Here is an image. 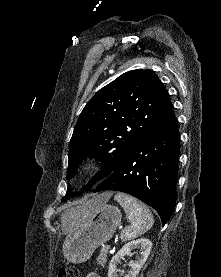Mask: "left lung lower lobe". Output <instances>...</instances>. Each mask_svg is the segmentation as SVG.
Returning <instances> with one entry per match:
<instances>
[{"mask_svg": "<svg viewBox=\"0 0 221 277\" xmlns=\"http://www.w3.org/2000/svg\"><path fill=\"white\" fill-rule=\"evenodd\" d=\"M179 151V130L172 108L130 148L94 192L130 194L153 207L164 225L175 206Z\"/></svg>", "mask_w": 221, "mask_h": 277, "instance_id": "left-lung-lower-lobe-1", "label": "left lung lower lobe"}]
</instances>
